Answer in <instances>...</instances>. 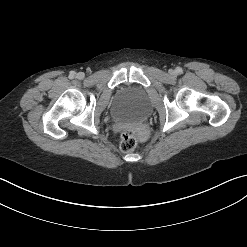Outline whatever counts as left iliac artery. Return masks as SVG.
Instances as JSON below:
<instances>
[{"label":"left iliac artery","mask_w":247,"mask_h":247,"mask_svg":"<svg viewBox=\"0 0 247 247\" xmlns=\"http://www.w3.org/2000/svg\"><path fill=\"white\" fill-rule=\"evenodd\" d=\"M177 71H178V72H182V70H181V69H178Z\"/></svg>","instance_id":"1"}]
</instances>
